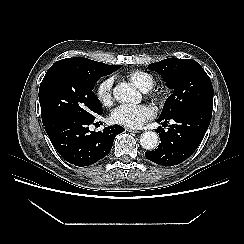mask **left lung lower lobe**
Segmentation results:
<instances>
[{"label": "left lung lower lobe", "mask_w": 244, "mask_h": 244, "mask_svg": "<svg viewBox=\"0 0 244 244\" xmlns=\"http://www.w3.org/2000/svg\"><path fill=\"white\" fill-rule=\"evenodd\" d=\"M212 111L203 108L182 110L169 118H158L163 125L172 119L174 124L165 131H157L161 143L157 149L145 152L150 161L164 166H174L189 158L201 143L211 121Z\"/></svg>", "instance_id": "obj_1"}]
</instances>
